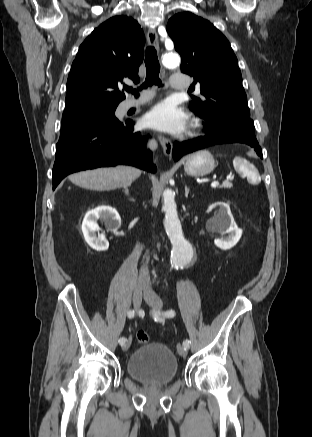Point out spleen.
<instances>
[{"mask_svg": "<svg viewBox=\"0 0 312 437\" xmlns=\"http://www.w3.org/2000/svg\"><path fill=\"white\" fill-rule=\"evenodd\" d=\"M233 165L235 170L249 176L253 183L260 182V177L250 169L249 163L245 159L236 157L233 161Z\"/></svg>", "mask_w": 312, "mask_h": 437, "instance_id": "spleen-1", "label": "spleen"}]
</instances>
